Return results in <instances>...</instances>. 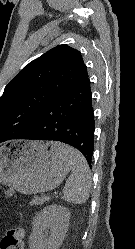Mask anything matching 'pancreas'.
I'll return each instance as SVG.
<instances>
[{"mask_svg": "<svg viewBox=\"0 0 135 249\" xmlns=\"http://www.w3.org/2000/svg\"><path fill=\"white\" fill-rule=\"evenodd\" d=\"M47 201H49V197H47V196L34 197L31 200L30 204L31 205H41V204H43V203H45Z\"/></svg>", "mask_w": 135, "mask_h": 249, "instance_id": "cf45deb5", "label": "pancreas"}]
</instances>
